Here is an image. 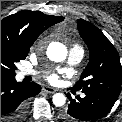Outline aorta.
Masks as SVG:
<instances>
[{"label": "aorta", "mask_w": 122, "mask_h": 122, "mask_svg": "<svg viewBox=\"0 0 122 122\" xmlns=\"http://www.w3.org/2000/svg\"><path fill=\"white\" fill-rule=\"evenodd\" d=\"M46 53L50 60L61 62L66 59L67 48L60 42H52L49 44ZM52 102L55 106L61 107L65 104L66 97L62 93H56L53 95Z\"/></svg>", "instance_id": "762f6f07"}]
</instances>
